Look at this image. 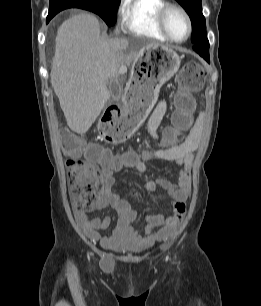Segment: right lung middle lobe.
I'll return each mask as SVG.
<instances>
[{"instance_id": "right-lung-middle-lobe-1", "label": "right lung middle lobe", "mask_w": 261, "mask_h": 306, "mask_svg": "<svg viewBox=\"0 0 261 306\" xmlns=\"http://www.w3.org/2000/svg\"><path fill=\"white\" fill-rule=\"evenodd\" d=\"M120 0H76V1H50L49 16L67 8H81L98 14L108 26L116 22L117 8Z\"/></svg>"}]
</instances>
